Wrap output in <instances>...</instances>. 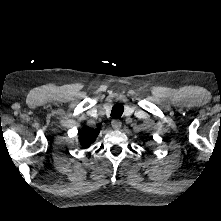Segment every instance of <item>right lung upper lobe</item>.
I'll list each match as a JSON object with an SVG mask.
<instances>
[{
    "label": "right lung upper lobe",
    "instance_id": "obj_1",
    "mask_svg": "<svg viewBox=\"0 0 221 221\" xmlns=\"http://www.w3.org/2000/svg\"><path fill=\"white\" fill-rule=\"evenodd\" d=\"M98 134H99L98 129H91L89 127L83 128L79 134L80 144L83 147L88 148L95 141Z\"/></svg>",
    "mask_w": 221,
    "mask_h": 221
}]
</instances>
